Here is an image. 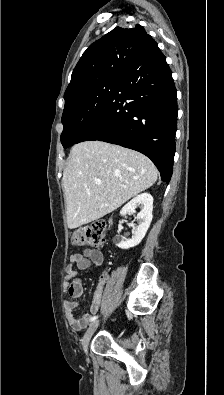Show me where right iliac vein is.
<instances>
[{
	"label": "right iliac vein",
	"instance_id": "right-iliac-vein-1",
	"mask_svg": "<svg viewBox=\"0 0 224 395\" xmlns=\"http://www.w3.org/2000/svg\"><path fill=\"white\" fill-rule=\"evenodd\" d=\"M98 326H99V321H94L93 323H91L89 325L84 337H83L82 347L86 353L88 352V346H89L90 339H91L92 335L94 334V332L96 331V329L98 328Z\"/></svg>",
	"mask_w": 224,
	"mask_h": 395
}]
</instances>
